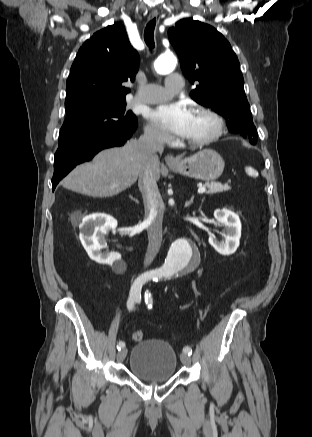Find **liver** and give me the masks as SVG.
I'll list each match as a JSON object with an SVG mask.
<instances>
[{
  "mask_svg": "<svg viewBox=\"0 0 312 437\" xmlns=\"http://www.w3.org/2000/svg\"><path fill=\"white\" fill-rule=\"evenodd\" d=\"M144 167L139 141L128 140L122 147L105 149L91 162L78 165L61 184L86 196L111 197L132 186ZM154 172L156 180H159V159Z\"/></svg>",
  "mask_w": 312,
  "mask_h": 437,
  "instance_id": "liver-1",
  "label": "liver"
}]
</instances>
